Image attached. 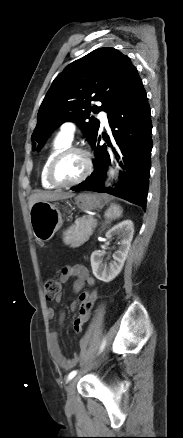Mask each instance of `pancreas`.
<instances>
[{
    "mask_svg": "<svg viewBox=\"0 0 183 438\" xmlns=\"http://www.w3.org/2000/svg\"><path fill=\"white\" fill-rule=\"evenodd\" d=\"M97 221L91 216L80 218L77 221V228L70 227L67 230V234L63 237L65 245H69L72 248L79 247L89 240V237L93 234L96 228Z\"/></svg>",
    "mask_w": 183,
    "mask_h": 438,
    "instance_id": "1",
    "label": "pancreas"
}]
</instances>
